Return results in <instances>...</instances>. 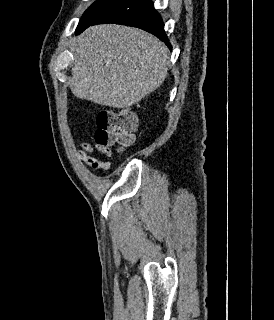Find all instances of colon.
<instances>
[{"instance_id":"colon-1","label":"colon","mask_w":274,"mask_h":320,"mask_svg":"<svg viewBox=\"0 0 274 320\" xmlns=\"http://www.w3.org/2000/svg\"><path fill=\"white\" fill-rule=\"evenodd\" d=\"M95 123L94 143H105V149H109L112 140H115L121 149L131 146L135 141L138 117L128 108L117 112L102 109L97 113Z\"/></svg>"}]
</instances>
